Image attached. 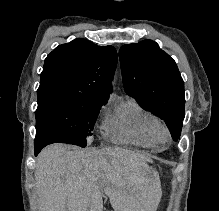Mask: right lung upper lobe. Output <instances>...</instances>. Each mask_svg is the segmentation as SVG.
Returning a JSON list of instances; mask_svg holds the SVG:
<instances>
[{
	"label": "right lung upper lobe",
	"instance_id": "cb5924a9",
	"mask_svg": "<svg viewBox=\"0 0 219 211\" xmlns=\"http://www.w3.org/2000/svg\"><path fill=\"white\" fill-rule=\"evenodd\" d=\"M116 64L113 46L82 38L59 45L45 59L37 95L61 93L107 102Z\"/></svg>",
	"mask_w": 219,
	"mask_h": 211
}]
</instances>
